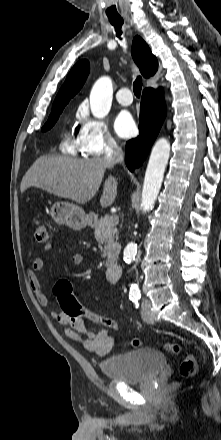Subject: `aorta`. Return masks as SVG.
<instances>
[{
  "instance_id": "aorta-1",
  "label": "aorta",
  "mask_w": 221,
  "mask_h": 440,
  "mask_svg": "<svg viewBox=\"0 0 221 440\" xmlns=\"http://www.w3.org/2000/svg\"><path fill=\"white\" fill-rule=\"evenodd\" d=\"M113 97L112 80L107 77H101L94 84L90 93V108L94 117L104 118L110 111ZM170 155V143L166 138H160L156 141L149 158L145 173L142 202L143 212L152 209L158 193L161 188L165 168ZM137 245L130 242L124 250V260L131 263L136 256ZM136 284H132L130 291H137Z\"/></svg>"
}]
</instances>
